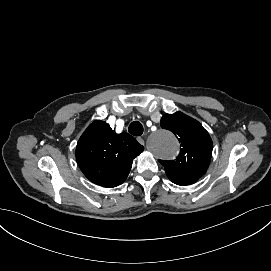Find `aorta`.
Masks as SVG:
<instances>
[{"instance_id": "aorta-1", "label": "aorta", "mask_w": 271, "mask_h": 271, "mask_svg": "<svg viewBox=\"0 0 271 271\" xmlns=\"http://www.w3.org/2000/svg\"><path fill=\"white\" fill-rule=\"evenodd\" d=\"M151 151L163 159L174 158L179 151V143L175 136L166 130H160L149 139Z\"/></svg>"}]
</instances>
